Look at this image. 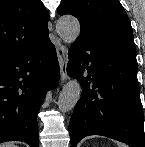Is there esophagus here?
Masks as SVG:
<instances>
[{
  "instance_id": "obj_1",
  "label": "esophagus",
  "mask_w": 145,
  "mask_h": 147,
  "mask_svg": "<svg viewBox=\"0 0 145 147\" xmlns=\"http://www.w3.org/2000/svg\"><path fill=\"white\" fill-rule=\"evenodd\" d=\"M56 53L60 67L61 80L64 81L67 78L68 50L59 40H56Z\"/></svg>"
}]
</instances>
